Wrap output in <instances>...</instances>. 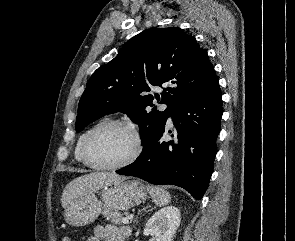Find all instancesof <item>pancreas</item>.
<instances>
[{
	"label": "pancreas",
	"mask_w": 295,
	"mask_h": 241,
	"mask_svg": "<svg viewBox=\"0 0 295 241\" xmlns=\"http://www.w3.org/2000/svg\"><path fill=\"white\" fill-rule=\"evenodd\" d=\"M104 217L106 220H109L111 223L115 225H121L122 224V219L123 216L119 211H110V210H105L103 212Z\"/></svg>",
	"instance_id": "obj_1"
}]
</instances>
